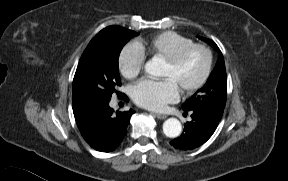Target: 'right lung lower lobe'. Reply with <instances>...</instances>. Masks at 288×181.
Returning <instances> with one entry per match:
<instances>
[{
	"label": "right lung lower lobe",
	"instance_id": "right-lung-lower-lobe-1",
	"mask_svg": "<svg viewBox=\"0 0 288 181\" xmlns=\"http://www.w3.org/2000/svg\"><path fill=\"white\" fill-rule=\"evenodd\" d=\"M124 98H127L126 95H124ZM133 113V109L125 112H114L110 108L109 103H107L102 106L101 111L97 115L90 136L83 138L91 147L98 151H114L123 141L130 116Z\"/></svg>",
	"mask_w": 288,
	"mask_h": 181
}]
</instances>
